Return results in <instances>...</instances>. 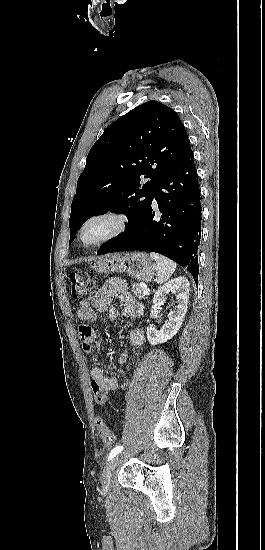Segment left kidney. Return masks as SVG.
<instances>
[{"mask_svg": "<svg viewBox=\"0 0 265 550\" xmlns=\"http://www.w3.org/2000/svg\"><path fill=\"white\" fill-rule=\"evenodd\" d=\"M170 292L175 293L178 305L169 312L167 321L159 331L152 326L147 328V338L151 345L165 343L172 339L183 324L189 299V281L185 277H178L159 287L154 295L153 304L163 305L166 302V295Z\"/></svg>", "mask_w": 265, "mask_h": 550, "instance_id": "left-kidney-1", "label": "left kidney"}]
</instances>
